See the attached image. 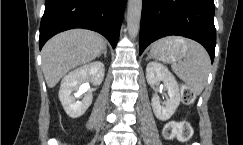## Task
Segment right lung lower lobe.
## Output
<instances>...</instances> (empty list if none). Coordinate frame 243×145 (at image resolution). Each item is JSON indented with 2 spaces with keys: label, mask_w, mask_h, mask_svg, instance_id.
I'll list each match as a JSON object with an SVG mask.
<instances>
[{
  "label": "right lung lower lobe",
  "mask_w": 243,
  "mask_h": 145,
  "mask_svg": "<svg viewBox=\"0 0 243 145\" xmlns=\"http://www.w3.org/2000/svg\"><path fill=\"white\" fill-rule=\"evenodd\" d=\"M127 0H45L39 47L55 34L85 28L104 35L115 48Z\"/></svg>",
  "instance_id": "obj_1"
}]
</instances>
